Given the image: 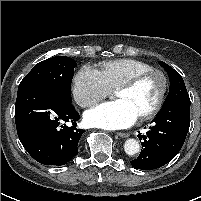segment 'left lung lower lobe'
<instances>
[{"label":"left lung lower lobe","instance_id":"obj_1","mask_svg":"<svg viewBox=\"0 0 201 201\" xmlns=\"http://www.w3.org/2000/svg\"><path fill=\"white\" fill-rule=\"evenodd\" d=\"M152 122L153 126L149 127L146 135H139V139L143 140L142 150L131 161L136 169H157L179 153L190 126V99L163 105Z\"/></svg>","mask_w":201,"mask_h":201}]
</instances>
